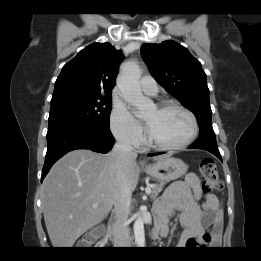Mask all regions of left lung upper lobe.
Returning <instances> with one entry per match:
<instances>
[{"mask_svg": "<svg viewBox=\"0 0 261 261\" xmlns=\"http://www.w3.org/2000/svg\"><path fill=\"white\" fill-rule=\"evenodd\" d=\"M141 54L156 81L194 113L200 128L199 137L215 136L209 88L200 62L175 41L144 44Z\"/></svg>", "mask_w": 261, "mask_h": 261, "instance_id": "left-lung-upper-lobe-1", "label": "left lung upper lobe"}]
</instances>
